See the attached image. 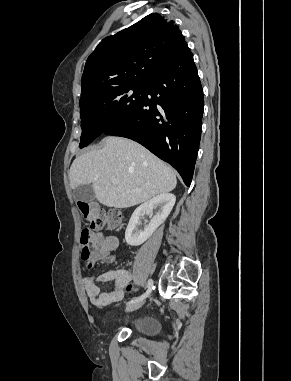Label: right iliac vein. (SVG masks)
<instances>
[{
    "mask_svg": "<svg viewBox=\"0 0 291 381\" xmlns=\"http://www.w3.org/2000/svg\"><path fill=\"white\" fill-rule=\"evenodd\" d=\"M143 303H144V299L130 304L126 308V312H132V311L139 309L143 305Z\"/></svg>",
    "mask_w": 291,
    "mask_h": 381,
    "instance_id": "1",
    "label": "right iliac vein"
}]
</instances>
